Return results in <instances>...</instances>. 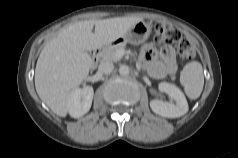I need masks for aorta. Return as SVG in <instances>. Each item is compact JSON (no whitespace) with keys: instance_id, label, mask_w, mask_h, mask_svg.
<instances>
[{"instance_id":"1","label":"aorta","mask_w":238,"mask_h":158,"mask_svg":"<svg viewBox=\"0 0 238 158\" xmlns=\"http://www.w3.org/2000/svg\"><path fill=\"white\" fill-rule=\"evenodd\" d=\"M129 67L126 65H121L119 67V74L122 76H127L129 74Z\"/></svg>"}]
</instances>
